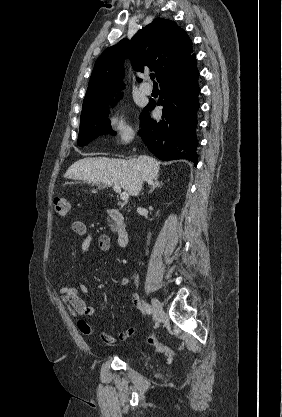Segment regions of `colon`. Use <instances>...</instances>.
<instances>
[{"instance_id":"5ec220e1","label":"colon","mask_w":282,"mask_h":417,"mask_svg":"<svg viewBox=\"0 0 282 417\" xmlns=\"http://www.w3.org/2000/svg\"><path fill=\"white\" fill-rule=\"evenodd\" d=\"M71 203L66 196H59L54 200V213L58 218L65 219L70 213ZM147 343L152 346L156 352L165 355L170 361L175 357V352L167 345L161 344L151 333L147 337Z\"/></svg>"}]
</instances>
